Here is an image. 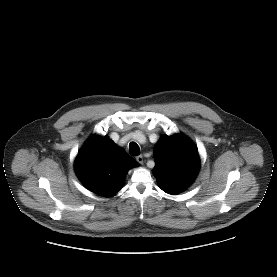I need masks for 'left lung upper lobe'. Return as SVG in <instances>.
<instances>
[{
	"mask_svg": "<svg viewBox=\"0 0 277 277\" xmlns=\"http://www.w3.org/2000/svg\"><path fill=\"white\" fill-rule=\"evenodd\" d=\"M153 155V173L160 188L168 194L180 193L198 174V150L183 134L162 137L154 146Z\"/></svg>",
	"mask_w": 277,
	"mask_h": 277,
	"instance_id": "obj_1",
	"label": "left lung upper lobe"
}]
</instances>
